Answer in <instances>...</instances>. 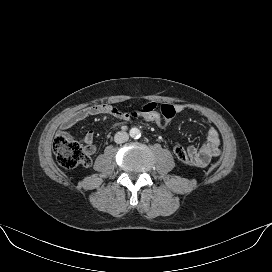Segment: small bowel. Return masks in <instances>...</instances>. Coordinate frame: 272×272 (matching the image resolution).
I'll return each instance as SVG.
<instances>
[{
	"label": "small bowel",
	"instance_id": "small-bowel-1",
	"mask_svg": "<svg viewBox=\"0 0 272 272\" xmlns=\"http://www.w3.org/2000/svg\"><path fill=\"white\" fill-rule=\"evenodd\" d=\"M144 106H151L155 108L158 107L155 102H149ZM175 108L177 113H182L186 109L183 104H176ZM96 115H110L124 121L132 120L130 112H121L117 108L108 104H95L83 108L63 119L60 124L58 134L60 136H68L69 129H71L79 122H82L87 118ZM81 141L86 145V150L89 154H93L96 151L93 131H88L85 133L82 136ZM220 144L221 140L218 130L213 125H209L206 134V142L200 147L189 146L187 148V152L195 163V166H205L213 157H216L220 154Z\"/></svg>",
	"mask_w": 272,
	"mask_h": 272
}]
</instances>
